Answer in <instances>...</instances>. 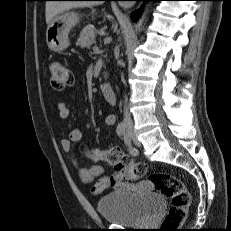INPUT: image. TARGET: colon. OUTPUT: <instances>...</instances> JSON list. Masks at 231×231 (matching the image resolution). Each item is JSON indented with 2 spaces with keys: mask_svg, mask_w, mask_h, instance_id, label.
<instances>
[{
  "mask_svg": "<svg viewBox=\"0 0 231 231\" xmlns=\"http://www.w3.org/2000/svg\"><path fill=\"white\" fill-rule=\"evenodd\" d=\"M50 80L52 87L57 90H64L73 85L70 69L58 60L50 63ZM87 155L94 161L111 164L116 173L126 180L135 181L147 177L154 187L170 200L171 207L161 225V231H176L183 224L191 198L178 178L166 172L148 173L146 164L134 162L118 147L108 150L91 149Z\"/></svg>",
  "mask_w": 231,
  "mask_h": 231,
  "instance_id": "5ec220e1",
  "label": "colon"
}]
</instances>
